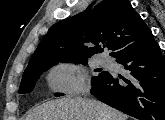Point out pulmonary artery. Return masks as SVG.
Returning <instances> with one entry per match:
<instances>
[{
	"mask_svg": "<svg viewBox=\"0 0 165 120\" xmlns=\"http://www.w3.org/2000/svg\"><path fill=\"white\" fill-rule=\"evenodd\" d=\"M99 63L101 65L108 66V65L112 64V61L109 58H107V57H100L99 58Z\"/></svg>",
	"mask_w": 165,
	"mask_h": 120,
	"instance_id": "pulmonary-artery-1",
	"label": "pulmonary artery"
}]
</instances>
